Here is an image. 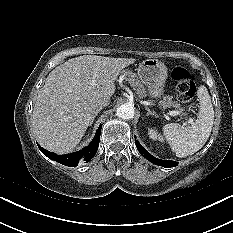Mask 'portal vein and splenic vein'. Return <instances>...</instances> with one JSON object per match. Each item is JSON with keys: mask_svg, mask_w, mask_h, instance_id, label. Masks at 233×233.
I'll return each instance as SVG.
<instances>
[{"mask_svg": "<svg viewBox=\"0 0 233 233\" xmlns=\"http://www.w3.org/2000/svg\"><path fill=\"white\" fill-rule=\"evenodd\" d=\"M91 85L92 86H97V80H96L95 77L92 78ZM179 114H180V111H176V110L169 111V115L170 116H177Z\"/></svg>", "mask_w": 233, "mask_h": 233, "instance_id": "1", "label": "portal vein and splenic vein"}]
</instances>
